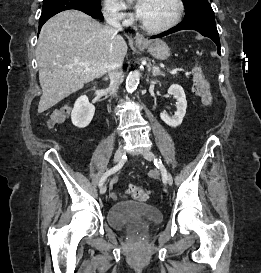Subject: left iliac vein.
<instances>
[{
	"label": "left iliac vein",
	"instance_id": "4c4485c4",
	"mask_svg": "<svg viewBox=\"0 0 261 273\" xmlns=\"http://www.w3.org/2000/svg\"><path fill=\"white\" fill-rule=\"evenodd\" d=\"M142 156L146 159V160H149V161H153L155 159V155L149 151V150H146L142 153ZM172 176L170 173L167 174V179H166V183L168 184H172Z\"/></svg>",
	"mask_w": 261,
	"mask_h": 273
}]
</instances>
